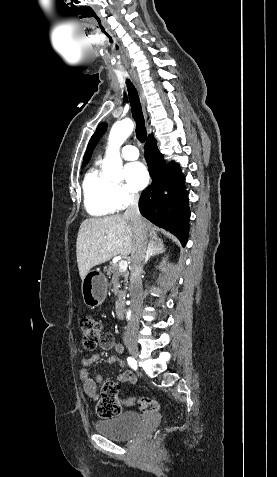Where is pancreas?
Instances as JSON below:
<instances>
[{"mask_svg": "<svg viewBox=\"0 0 277 477\" xmlns=\"http://www.w3.org/2000/svg\"><path fill=\"white\" fill-rule=\"evenodd\" d=\"M105 271L108 275L113 274L114 278H118L120 276L124 277V282L126 284L128 283L129 272L120 270L119 264H110L108 268L105 267ZM122 294L125 295V291H123Z\"/></svg>", "mask_w": 277, "mask_h": 477, "instance_id": "pancreas-1", "label": "pancreas"}]
</instances>
